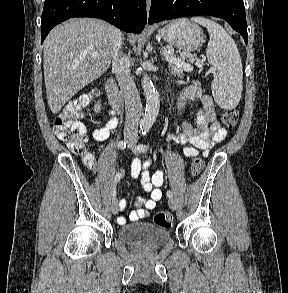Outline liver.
I'll return each mask as SVG.
<instances>
[{
    "label": "liver",
    "instance_id": "1",
    "mask_svg": "<svg viewBox=\"0 0 288 293\" xmlns=\"http://www.w3.org/2000/svg\"><path fill=\"white\" fill-rule=\"evenodd\" d=\"M121 31L100 19L72 18L52 29L43 44L44 79L52 113L111 63ZM96 54V58L92 55Z\"/></svg>",
    "mask_w": 288,
    "mask_h": 293
}]
</instances>
